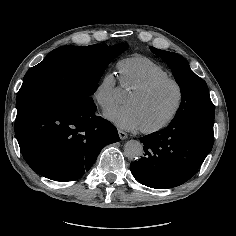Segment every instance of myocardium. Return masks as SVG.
I'll return each instance as SVG.
<instances>
[{
  "label": "myocardium",
  "instance_id": "myocardium-1",
  "mask_svg": "<svg viewBox=\"0 0 236 236\" xmlns=\"http://www.w3.org/2000/svg\"><path fill=\"white\" fill-rule=\"evenodd\" d=\"M167 83L173 84L178 91L177 104L174 110L172 111V113L161 123L152 127H141V131L143 133H146V134L157 133L159 131L164 130L165 128H167L169 125H171L174 122V120L177 118V116L179 115L183 107L184 98H185L184 89H183L182 84L177 79L168 77V78L157 79L142 88L132 91V93L137 96H146L150 94L151 92H153L154 90H156L157 88Z\"/></svg>",
  "mask_w": 236,
  "mask_h": 236
}]
</instances>
